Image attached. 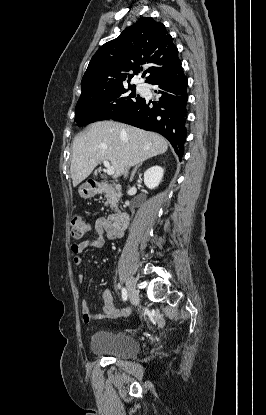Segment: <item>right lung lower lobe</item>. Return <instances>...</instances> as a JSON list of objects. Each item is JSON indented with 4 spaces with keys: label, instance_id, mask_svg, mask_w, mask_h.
Masks as SVG:
<instances>
[{
    "label": "right lung lower lobe",
    "instance_id": "98d812e1",
    "mask_svg": "<svg viewBox=\"0 0 266 415\" xmlns=\"http://www.w3.org/2000/svg\"><path fill=\"white\" fill-rule=\"evenodd\" d=\"M150 84L158 87L155 92L160 95L158 103H153L154 107H150L151 102L142 98L137 105L112 119L160 133L170 141L181 159L187 137L185 124L188 80L180 65L175 70L155 78Z\"/></svg>",
    "mask_w": 266,
    "mask_h": 415
}]
</instances>
